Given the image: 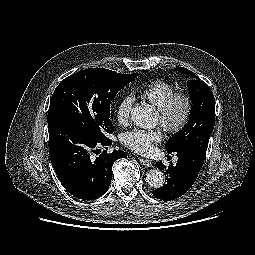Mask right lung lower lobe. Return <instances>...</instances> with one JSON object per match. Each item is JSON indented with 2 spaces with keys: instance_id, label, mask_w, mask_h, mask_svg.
Here are the masks:
<instances>
[{
  "instance_id": "right-lung-lower-lobe-1",
  "label": "right lung lower lobe",
  "mask_w": 255,
  "mask_h": 255,
  "mask_svg": "<svg viewBox=\"0 0 255 255\" xmlns=\"http://www.w3.org/2000/svg\"><path fill=\"white\" fill-rule=\"evenodd\" d=\"M48 131L50 159L64 188L82 200L102 196L110 186L113 163L126 158V153L103 151L93 159L90 153L97 151L98 146H110L109 138H95L66 122L54 123Z\"/></svg>"
}]
</instances>
